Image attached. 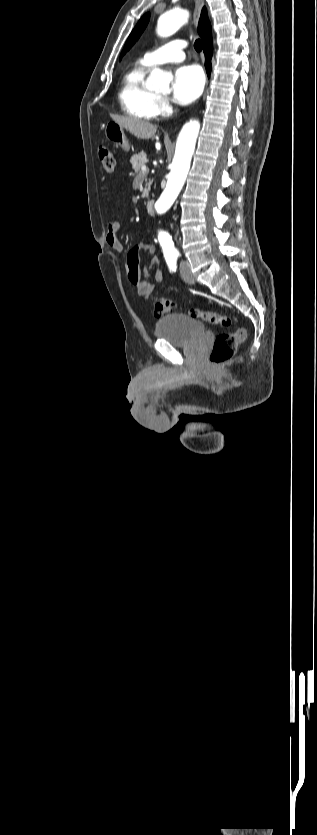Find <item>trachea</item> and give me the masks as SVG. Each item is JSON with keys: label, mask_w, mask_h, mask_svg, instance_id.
Instances as JSON below:
<instances>
[{"label": "trachea", "mask_w": 317, "mask_h": 835, "mask_svg": "<svg viewBox=\"0 0 317 835\" xmlns=\"http://www.w3.org/2000/svg\"><path fill=\"white\" fill-rule=\"evenodd\" d=\"M194 48L197 52H200L203 48V42L200 39H196L194 43Z\"/></svg>", "instance_id": "trachea-1"}]
</instances>
